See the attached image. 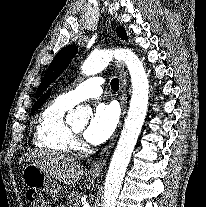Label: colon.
Here are the masks:
<instances>
[{
	"label": "colon",
	"mask_w": 206,
	"mask_h": 207,
	"mask_svg": "<svg viewBox=\"0 0 206 207\" xmlns=\"http://www.w3.org/2000/svg\"><path fill=\"white\" fill-rule=\"evenodd\" d=\"M27 198L32 207H48L45 197L37 191H28Z\"/></svg>",
	"instance_id": "obj_1"
}]
</instances>
